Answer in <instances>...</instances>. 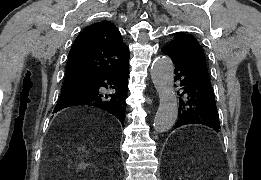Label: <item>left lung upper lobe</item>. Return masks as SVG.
I'll use <instances>...</instances> for the list:
<instances>
[{"instance_id": "5c2ea615", "label": "left lung upper lobe", "mask_w": 261, "mask_h": 180, "mask_svg": "<svg viewBox=\"0 0 261 180\" xmlns=\"http://www.w3.org/2000/svg\"><path fill=\"white\" fill-rule=\"evenodd\" d=\"M165 47L171 49L181 60L208 75L205 54L199 42L192 35L178 33Z\"/></svg>"}]
</instances>
